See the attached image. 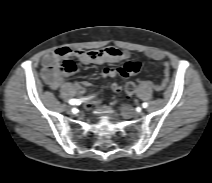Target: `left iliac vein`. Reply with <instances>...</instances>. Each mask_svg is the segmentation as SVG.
I'll use <instances>...</instances> for the list:
<instances>
[{
	"label": "left iliac vein",
	"instance_id": "obj_1",
	"mask_svg": "<svg viewBox=\"0 0 212 183\" xmlns=\"http://www.w3.org/2000/svg\"><path fill=\"white\" fill-rule=\"evenodd\" d=\"M122 111L125 116H135L136 115V113L132 110V108L127 105L122 106ZM139 114H141V112Z\"/></svg>",
	"mask_w": 212,
	"mask_h": 183
}]
</instances>
